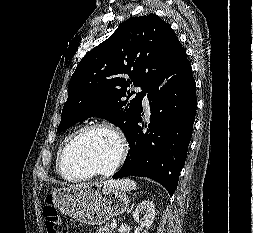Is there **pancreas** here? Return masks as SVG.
<instances>
[{
  "mask_svg": "<svg viewBox=\"0 0 253 233\" xmlns=\"http://www.w3.org/2000/svg\"><path fill=\"white\" fill-rule=\"evenodd\" d=\"M113 229L110 227L109 223H106L104 226H99L96 229V233H112Z\"/></svg>",
  "mask_w": 253,
  "mask_h": 233,
  "instance_id": "obj_1",
  "label": "pancreas"
}]
</instances>
